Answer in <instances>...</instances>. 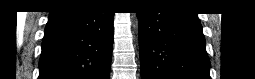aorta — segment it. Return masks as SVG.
Returning <instances> with one entry per match:
<instances>
[{
	"instance_id": "1",
	"label": "aorta",
	"mask_w": 255,
	"mask_h": 79,
	"mask_svg": "<svg viewBox=\"0 0 255 79\" xmlns=\"http://www.w3.org/2000/svg\"><path fill=\"white\" fill-rule=\"evenodd\" d=\"M136 26L138 27V21H136Z\"/></svg>"
}]
</instances>
